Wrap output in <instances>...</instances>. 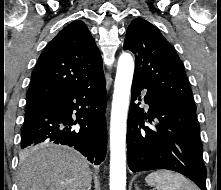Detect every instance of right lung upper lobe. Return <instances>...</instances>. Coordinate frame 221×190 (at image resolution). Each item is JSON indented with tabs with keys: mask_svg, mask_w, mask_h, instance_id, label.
Wrapping results in <instances>:
<instances>
[{
	"mask_svg": "<svg viewBox=\"0 0 221 190\" xmlns=\"http://www.w3.org/2000/svg\"><path fill=\"white\" fill-rule=\"evenodd\" d=\"M103 74L102 58L84 22L76 20L45 47L31 75L26 110Z\"/></svg>",
	"mask_w": 221,
	"mask_h": 190,
	"instance_id": "obj_1",
	"label": "right lung upper lobe"
}]
</instances>
